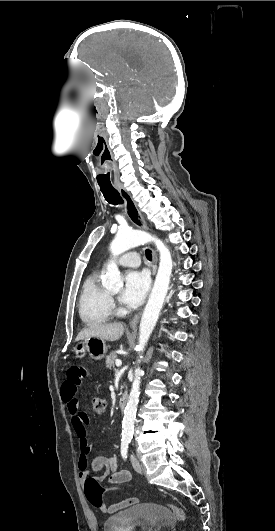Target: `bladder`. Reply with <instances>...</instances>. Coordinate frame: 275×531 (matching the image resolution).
Wrapping results in <instances>:
<instances>
[{
	"label": "bladder",
	"mask_w": 275,
	"mask_h": 531,
	"mask_svg": "<svg viewBox=\"0 0 275 531\" xmlns=\"http://www.w3.org/2000/svg\"><path fill=\"white\" fill-rule=\"evenodd\" d=\"M174 515L160 503H140L107 517L103 531H173Z\"/></svg>",
	"instance_id": "31cf9c89"
}]
</instances>
